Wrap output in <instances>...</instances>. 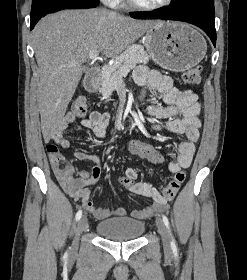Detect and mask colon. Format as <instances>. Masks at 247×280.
<instances>
[{
	"label": "colon",
	"instance_id": "5ec220e1",
	"mask_svg": "<svg viewBox=\"0 0 247 280\" xmlns=\"http://www.w3.org/2000/svg\"><path fill=\"white\" fill-rule=\"evenodd\" d=\"M202 68L195 66L188 69L183 74V81L187 85H196L200 82ZM71 112L75 116H84L87 112V103L84 98H77L71 105ZM127 150L129 153L140 158L146 159L155 164L161 163L163 157L158 154V149L153 143H148L146 139H140L138 136H131L127 143ZM47 152L50 163L55 175L59 178L68 179L74 175V168L71 163L61 154L55 145H48ZM185 179V174L178 171L174 174L171 181L162 188V196L166 200H172L177 194L181 184ZM117 183L124 188H131L133 181L127 176H119Z\"/></svg>",
	"mask_w": 247,
	"mask_h": 280
}]
</instances>
